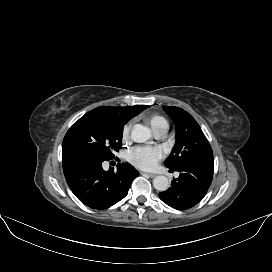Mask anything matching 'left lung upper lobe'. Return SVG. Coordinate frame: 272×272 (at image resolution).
Listing matches in <instances>:
<instances>
[{
  "label": "left lung upper lobe",
  "instance_id": "5c2ea615",
  "mask_svg": "<svg viewBox=\"0 0 272 272\" xmlns=\"http://www.w3.org/2000/svg\"><path fill=\"white\" fill-rule=\"evenodd\" d=\"M176 127V146L164 164L169 169H178L187 162L213 157L211 146L199 124L179 107L163 106Z\"/></svg>",
  "mask_w": 272,
  "mask_h": 272
}]
</instances>
